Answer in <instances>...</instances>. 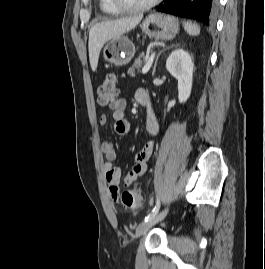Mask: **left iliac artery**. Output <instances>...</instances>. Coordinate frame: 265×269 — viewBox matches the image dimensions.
<instances>
[{"mask_svg":"<svg viewBox=\"0 0 265 269\" xmlns=\"http://www.w3.org/2000/svg\"><path fill=\"white\" fill-rule=\"evenodd\" d=\"M159 208H160V202L159 200L157 199L156 201V206L154 207V209L145 217V222L152 219L153 217H155V215L158 213L159 211Z\"/></svg>","mask_w":265,"mask_h":269,"instance_id":"44dca946","label":"left iliac artery"}]
</instances>
